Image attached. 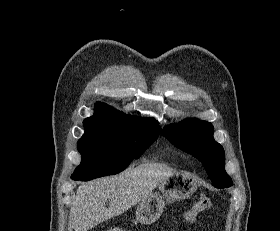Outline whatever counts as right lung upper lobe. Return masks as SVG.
I'll return each mask as SVG.
<instances>
[{"mask_svg": "<svg viewBox=\"0 0 280 231\" xmlns=\"http://www.w3.org/2000/svg\"><path fill=\"white\" fill-rule=\"evenodd\" d=\"M101 118L117 119L139 126L161 129L158 122L153 118H139L136 116L126 115L123 112L117 111L104 103L98 102L96 103L94 116L86 118L85 120Z\"/></svg>", "mask_w": 280, "mask_h": 231, "instance_id": "1", "label": "right lung upper lobe"}]
</instances>
